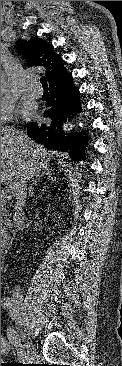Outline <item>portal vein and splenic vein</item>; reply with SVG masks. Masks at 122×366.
Listing matches in <instances>:
<instances>
[{
  "label": "portal vein and splenic vein",
  "mask_w": 122,
  "mask_h": 366,
  "mask_svg": "<svg viewBox=\"0 0 122 366\" xmlns=\"http://www.w3.org/2000/svg\"><path fill=\"white\" fill-rule=\"evenodd\" d=\"M1 197L8 200L11 198L9 190H1Z\"/></svg>",
  "instance_id": "1"
}]
</instances>
